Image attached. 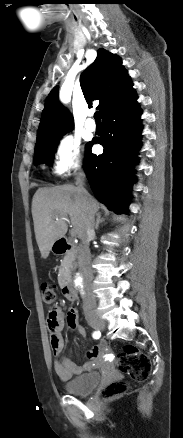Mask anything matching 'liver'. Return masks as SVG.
<instances>
[{"mask_svg":"<svg viewBox=\"0 0 183 438\" xmlns=\"http://www.w3.org/2000/svg\"><path fill=\"white\" fill-rule=\"evenodd\" d=\"M98 209L96 199L88 193L84 197L72 185L39 188L33 196L32 216L41 257L46 259L54 243L65 236L68 227L62 217L69 215L75 234L82 237L89 212Z\"/></svg>","mask_w":183,"mask_h":438,"instance_id":"obj_1","label":"liver"}]
</instances>
